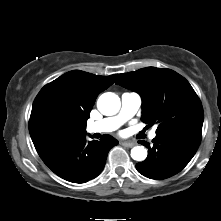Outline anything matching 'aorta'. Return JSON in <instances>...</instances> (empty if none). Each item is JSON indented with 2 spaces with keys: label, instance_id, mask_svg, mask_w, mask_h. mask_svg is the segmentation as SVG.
<instances>
[{
  "label": "aorta",
  "instance_id": "1",
  "mask_svg": "<svg viewBox=\"0 0 221 221\" xmlns=\"http://www.w3.org/2000/svg\"><path fill=\"white\" fill-rule=\"evenodd\" d=\"M121 106L120 98L112 93L107 92L102 94L98 101V110L106 116H111L118 113ZM131 157L136 161H143L147 157V150L143 146H135L131 149Z\"/></svg>",
  "mask_w": 221,
  "mask_h": 221
}]
</instances>
